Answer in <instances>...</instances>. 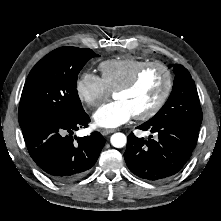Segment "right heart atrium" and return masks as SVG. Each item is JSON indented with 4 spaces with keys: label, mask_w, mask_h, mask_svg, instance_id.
<instances>
[{
    "label": "right heart atrium",
    "mask_w": 221,
    "mask_h": 221,
    "mask_svg": "<svg viewBox=\"0 0 221 221\" xmlns=\"http://www.w3.org/2000/svg\"><path fill=\"white\" fill-rule=\"evenodd\" d=\"M75 91L78 98L89 107L99 106L109 94L101 77L91 72L79 75Z\"/></svg>",
    "instance_id": "obj_1"
}]
</instances>
